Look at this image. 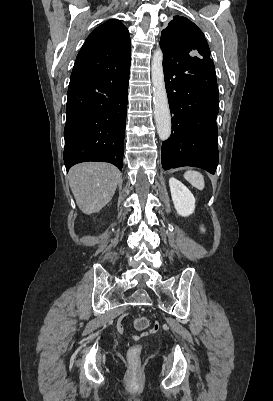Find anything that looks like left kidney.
<instances>
[{
    "instance_id": "5707ae66",
    "label": "left kidney",
    "mask_w": 273,
    "mask_h": 401,
    "mask_svg": "<svg viewBox=\"0 0 273 401\" xmlns=\"http://www.w3.org/2000/svg\"><path fill=\"white\" fill-rule=\"evenodd\" d=\"M169 186L172 201L178 215H181V217L192 215L195 209V198L191 190L183 182H180L177 178H173V176L169 178Z\"/></svg>"
}]
</instances>
